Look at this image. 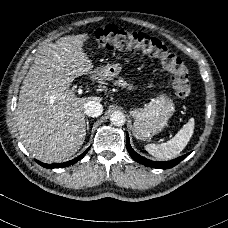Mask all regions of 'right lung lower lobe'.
<instances>
[{
    "label": "right lung lower lobe",
    "mask_w": 228,
    "mask_h": 228,
    "mask_svg": "<svg viewBox=\"0 0 228 228\" xmlns=\"http://www.w3.org/2000/svg\"><path fill=\"white\" fill-rule=\"evenodd\" d=\"M90 148H88L84 153H82L80 156L76 157L73 160H70L68 162H64V163H57V164H45L42 162H39L38 160H35L38 164H40L41 166L45 167V168H62V167H67L69 165H72L74 163H76L77 161H79L80 159H82L86 153L89 151Z\"/></svg>",
    "instance_id": "obj_1"
}]
</instances>
